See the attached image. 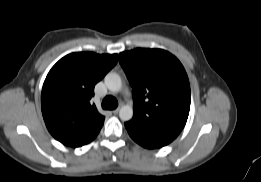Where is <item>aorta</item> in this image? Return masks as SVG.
Here are the masks:
<instances>
[{
	"label": "aorta",
	"mask_w": 261,
	"mask_h": 182,
	"mask_svg": "<svg viewBox=\"0 0 261 182\" xmlns=\"http://www.w3.org/2000/svg\"><path fill=\"white\" fill-rule=\"evenodd\" d=\"M105 85L112 92H119L122 89V80L117 73H108L105 76ZM119 117L122 121H129L133 117V109L129 105H124L119 110Z\"/></svg>",
	"instance_id": "aorta-1"
}]
</instances>
